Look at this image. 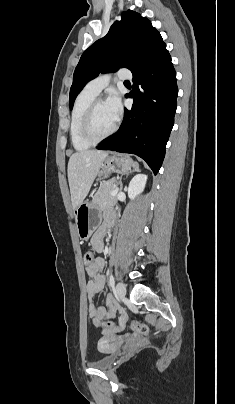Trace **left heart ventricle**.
<instances>
[{
	"instance_id": "1",
	"label": "left heart ventricle",
	"mask_w": 235,
	"mask_h": 404,
	"mask_svg": "<svg viewBox=\"0 0 235 404\" xmlns=\"http://www.w3.org/2000/svg\"><path fill=\"white\" fill-rule=\"evenodd\" d=\"M114 123L115 119L108 111L105 103H99L94 114L93 130L95 135L101 136L105 134L111 129Z\"/></svg>"
}]
</instances>
